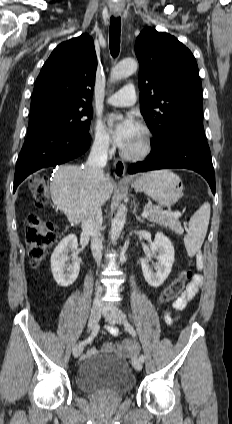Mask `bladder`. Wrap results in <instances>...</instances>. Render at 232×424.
I'll list each match as a JSON object with an SVG mask.
<instances>
[{
    "instance_id": "obj_1",
    "label": "bladder",
    "mask_w": 232,
    "mask_h": 424,
    "mask_svg": "<svg viewBox=\"0 0 232 424\" xmlns=\"http://www.w3.org/2000/svg\"><path fill=\"white\" fill-rule=\"evenodd\" d=\"M77 387L86 393L121 395L136 383L128 361L117 356H93L83 361L75 376Z\"/></svg>"
}]
</instances>
